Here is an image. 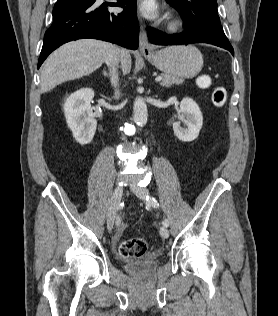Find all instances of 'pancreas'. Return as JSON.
I'll return each mask as SVG.
<instances>
[{
	"label": "pancreas",
	"instance_id": "pancreas-1",
	"mask_svg": "<svg viewBox=\"0 0 278 316\" xmlns=\"http://www.w3.org/2000/svg\"><path fill=\"white\" fill-rule=\"evenodd\" d=\"M183 83V79L174 75H162L161 85L164 87H171L172 85H179Z\"/></svg>",
	"mask_w": 278,
	"mask_h": 316
}]
</instances>
